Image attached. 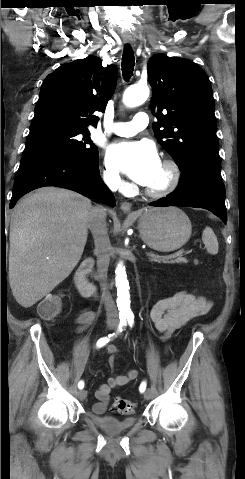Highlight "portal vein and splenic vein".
I'll list each match as a JSON object with an SVG mask.
<instances>
[{
  "label": "portal vein and splenic vein",
  "instance_id": "1",
  "mask_svg": "<svg viewBox=\"0 0 245 479\" xmlns=\"http://www.w3.org/2000/svg\"><path fill=\"white\" fill-rule=\"evenodd\" d=\"M146 254H147V256H149L150 258H151V257H156V258H177V257H182V256H183L184 250H179V251L174 252V253H172V254H170V255H168V256H162V257H161V256H157V255H155V254L152 253V252H147Z\"/></svg>",
  "mask_w": 245,
  "mask_h": 479
}]
</instances>
